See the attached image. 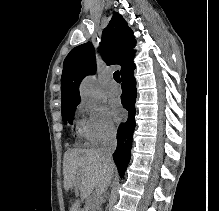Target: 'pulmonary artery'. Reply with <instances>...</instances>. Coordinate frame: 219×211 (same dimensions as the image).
<instances>
[{"instance_id": "1", "label": "pulmonary artery", "mask_w": 219, "mask_h": 211, "mask_svg": "<svg viewBox=\"0 0 219 211\" xmlns=\"http://www.w3.org/2000/svg\"><path fill=\"white\" fill-rule=\"evenodd\" d=\"M107 93L111 96H118L122 93L121 86L115 81H112L107 87Z\"/></svg>"}]
</instances>
